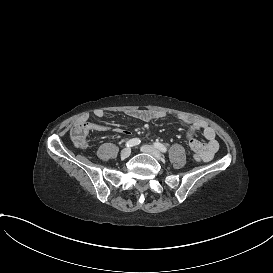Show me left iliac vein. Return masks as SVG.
<instances>
[{"instance_id":"obj_1","label":"left iliac vein","mask_w":273,"mask_h":273,"mask_svg":"<svg viewBox=\"0 0 273 273\" xmlns=\"http://www.w3.org/2000/svg\"><path fill=\"white\" fill-rule=\"evenodd\" d=\"M141 150L143 152H146V153L152 155L157 160L162 159V155H161L160 151L158 149H156L155 147L151 146V145H144V146H142Z\"/></svg>"}]
</instances>
